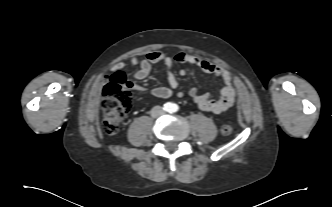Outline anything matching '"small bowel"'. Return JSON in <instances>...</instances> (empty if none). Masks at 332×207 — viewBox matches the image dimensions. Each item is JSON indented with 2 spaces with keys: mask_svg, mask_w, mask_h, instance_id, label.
<instances>
[{
  "mask_svg": "<svg viewBox=\"0 0 332 207\" xmlns=\"http://www.w3.org/2000/svg\"><path fill=\"white\" fill-rule=\"evenodd\" d=\"M176 62L196 66L203 72L223 80L224 87L221 90L220 97L217 99L211 98L208 93H198L196 88H191L189 90V96L201 110L221 115L227 112L234 105L236 90L232 83L231 73L208 60L200 59L184 52L177 53L175 56L171 57L161 51H151L145 58L133 57L130 60V64L132 66L138 67V70L133 75L136 80H143L147 78L150 75L154 65L159 63H163L165 65L168 86L156 87L152 89L151 95L155 98H168L177 90L179 83L173 72V66ZM113 68L123 69L125 68V64L123 62H119L115 64ZM179 74L183 76L186 74V71L181 69ZM135 88L137 90L144 89L138 85Z\"/></svg>",
  "mask_w": 332,
  "mask_h": 207,
  "instance_id": "obj_1",
  "label": "small bowel"
}]
</instances>
